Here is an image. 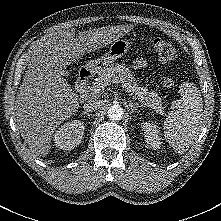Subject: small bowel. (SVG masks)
<instances>
[{"label": "small bowel", "mask_w": 221, "mask_h": 221, "mask_svg": "<svg viewBox=\"0 0 221 221\" xmlns=\"http://www.w3.org/2000/svg\"><path fill=\"white\" fill-rule=\"evenodd\" d=\"M147 66V62L143 58H137L134 61V67L136 68H145Z\"/></svg>", "instance_id": "1"}]
</instances>
